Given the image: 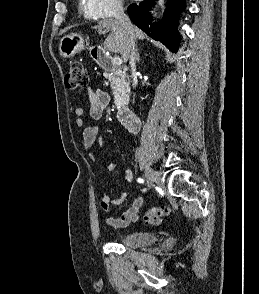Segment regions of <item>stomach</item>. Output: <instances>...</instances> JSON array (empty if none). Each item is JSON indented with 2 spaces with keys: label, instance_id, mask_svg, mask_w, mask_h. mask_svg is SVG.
<instances>
[{
  "label": "stomach",
  "instance_id": "stomach-1",
  "mask_svg": "<svg viewBox=\"0 0 259 294\" xmlns=\"http://www.w3.org/2000/svg\"><path fill=\"white\" fill-rule=\"evenodd\" d=\"M84 49V39L79 33H70L64 36L59 44L60 54L71 58Z\"/></svg>",
  "mask_w": 259,
  "mask_h": 294
}]
</instances>
